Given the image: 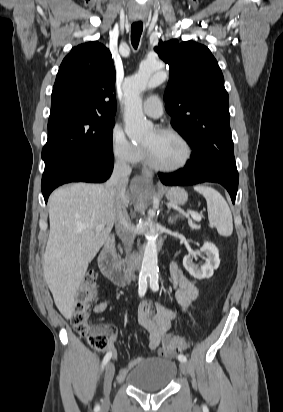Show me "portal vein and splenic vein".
<instances>
[{
    "instance_id": "obj_1",
    "label": "portal vein and splenic vein",
    "mask_w": 283,
    "mask_h": 412,
    "mask_svg": "<svg viewBox=\"0 0 283 412\" xmlns=\"http://www.w3.org/2000/svg\"><path fill=\"white\" fill-rule=\"evenodd\" d=\"M187 214H190L191 217H192V219H194L195 221H198V222L201 221V216H200L198 213H196V212H194V211H188ZM88 226H89L88 224H82V225H80V229H84V228H86V227H88ZM103 228H104V225H99V226L96 228V230H97V231H100V230H102Z\"/></svg>"
}]
</instances>
